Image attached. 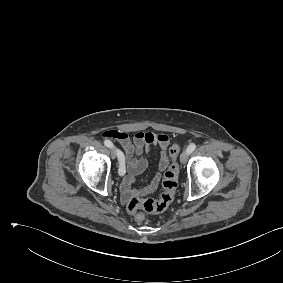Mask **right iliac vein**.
<instances>
[{"label":"right iliac vein","mask_w":283,"mask_h":283,"mask_svg":"<svg viewBox=\"0 0 283 283\" xmlns=\"http://www.w3.org/2000/svg\"><path fill=\"white\" fill-rule=\"evenodd\" d=\"M111 157L112 159H115L116 157V151L113 148H111Z\"/></svg>","instance_id":"63e3f726"}]
</instances>
